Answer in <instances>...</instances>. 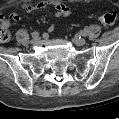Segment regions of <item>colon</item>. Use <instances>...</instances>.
<instances>
[{"label": "colon", "mask_w": 119, "mask_h": 119, "mask_svg": "<svg viewBox=\"0 0 119 119\" xmlns=\"http://www.w3.org/2000/svg\"><path fill=\"white\" fill-rule=\"evenodd\" d=\"M116 19H117V15L113 11L106 12L100 17V21L105 27H112L115 24ZM9 40H10L9 31L1 27L0 42L5 43L8 42Z\"/></svg>", "instance_id": "obj_1"}]
</instances>
